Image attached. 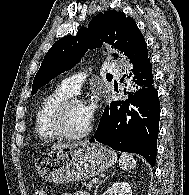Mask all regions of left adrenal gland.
<instances>
[{"label": "left adrenal gland", "instance_id": "1", "mask_svg": "<svg viewBox=\"0 0 189 195\" xmlns=\"http://www.w3.org/2000/svg\"><path fill=\"white\" fill-rule=\"evenodd\" d=\"M114 172L111 174V175H109V176H107L106 178H104V180H102L97 186H96V188H95V190H94V195H96V192H97V189L99 188V186L103 183V182H105L108 178H110L111 176H114Z\"/></svg>", "mask_w": 189, "mask_h": 195}]
</instances>
